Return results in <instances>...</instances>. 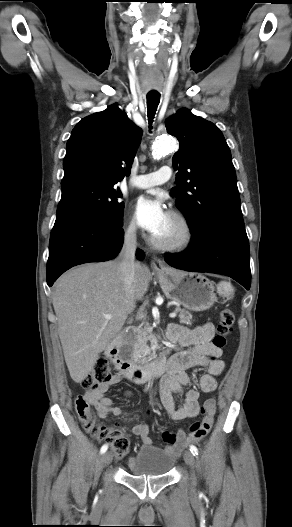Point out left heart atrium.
Listing matches in <instances>:
<instances>
[{
    "instance_id": "left-heart-atrium-1",
    "label": "left heart atrium",
    "mask_w": 292,
    "mask_h": 527,
    "mask_svg": "<svg viewBox=\"0 0 292 527\" xmlns=\"http://www.w3.org/2000/svg\"><path fill=\"white\" fill-rule=\"evenodd\" d=\"M134 214L138 225L153 236L163 228L169 217L161 201L148 197L136 201Z\"/></svg>"
}]
</instances>
